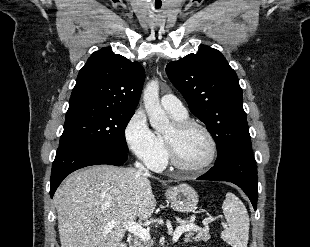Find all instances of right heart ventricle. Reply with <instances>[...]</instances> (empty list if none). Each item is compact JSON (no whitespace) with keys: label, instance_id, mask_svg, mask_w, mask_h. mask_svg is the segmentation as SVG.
I'll return each instance as SVG.
<instances>
[{"label":"right heart ventricle","instance_id":"1","mask_svg":"<svg viewBox=\"0 0 310 247\" xmlns=\"http://www.w3.org/2000/svg\"><path fill=\"white\" fill-rule=\"evenodd\" d=\"M172 115V114H171ZM172 117L176 120V121H179V120H186V117L187 116H174L172 115ZM158 138L160 140V142L163 144L165 150H166V146H165V141H164V137L162 135H158ZM166 154H167V150H166Z\"/></svg>","mask_w":310,"mask_h":247}]
</instances>
